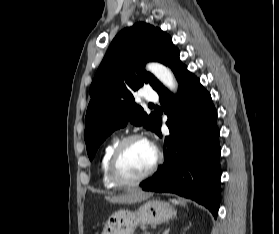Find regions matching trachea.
I'll use <instances>...</instances> for the list:
<instances>
[{
	"label": "trachea",
	"mask_w": 279,
	"mask_h": 234,
	"mask_svg": "<svg viewBox=\"0 0 279 234\" xmlns=\"http://www.w3.org/2000/svg\"><path fill=\"white\" fill-rule=\"evenodd\" d=\"M149 106H153V104H149Z\"/></svg>",
	"instance_id": "obj_1"
}]
</instances>
